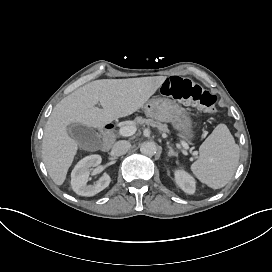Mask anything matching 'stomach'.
<instances>
[{"instance_id":"0dacf381","label":"stomach","mask_w":272,"mask_h":272,"mask_svg":"<svg viewBox=\"0 0 272 272\" xmlns=\"http://www.w3.org/2000/svg\"><path fill=\"white\" fill-rule=\"evenodd\" d=\"M145 113L151 119L163 123H170L177 131L178 138L192 143L196 138L194 120L191 113L169 98H154L143 107Z\"/></svg>"}]
</instances>
